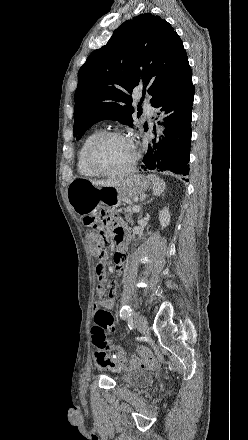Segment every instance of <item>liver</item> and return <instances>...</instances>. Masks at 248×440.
<instances>
[{"mask_svg":"<svg viewBox=\"0 0 248 440\" xmlns=\"http://www.w3.org/2000/svg\"><path fill=\"white\" fill-rule=\"evenodd\" d=\"M121 180H107V181H92L95 186H113L117 185Z\"/></svg>","mask_w":248,"mask_h":440,"instance_id":"obj_1","label":"liver"}]
</instances>
